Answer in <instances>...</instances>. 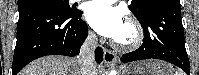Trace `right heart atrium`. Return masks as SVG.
Listing matches in <instances>:
<instances>
[{
    "instance_id": "d8ad5b80",
    "label": "right heart atrium",
    "mask_w": 199,
    "mask_h": 75,
    "mask_svg": "<svg viewBox=\"0 0 199 75\" xmlns=\"http://www.w3.org/2000/svg\"><path fill=\"white\" fill-rule=\"evenodd\" d=\"M89 38H90V39H94V34L90 32V33H89Z\"/></svg>"
}]
</instances>
